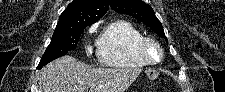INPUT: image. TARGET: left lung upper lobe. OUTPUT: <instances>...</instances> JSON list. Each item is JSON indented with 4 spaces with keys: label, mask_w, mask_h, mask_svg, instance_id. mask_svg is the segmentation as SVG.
<instances>
[{
    "label": "left lung upper lobe",
    "mask_w": 225,
    "mask_h": 92,
    "mask_svg": "<svg viewBox=\"0 0 225 92\" xmlns=\"http://www.w3.org/2000/svg\"><path fill=\"white\" fill-rule=\"evenodd\" d=\"M110 7L116 12L130 15L144 22V24L150 27L159 36L164 37L168 42L164 34L163 26L155 16L150 5L141 0H110Z\"/></svg>",
    "instance_id": "5c2ea615"
}]
</instances>
